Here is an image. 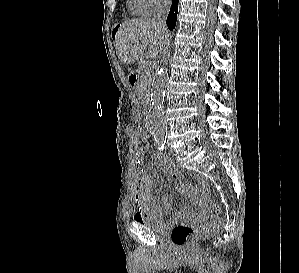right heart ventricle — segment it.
<instances>
[{"mask_svg": "<svg viewBox=\"0 0 299 273\" xmlns=\"http://www.w3.org/2000/svg\"><path fill=\"white\" fill-rule=\"evenodd\" d=\"M131 6H132V10L134 11V13L136 14H140L143 15L145 14L141 8L139 7L138 3L136 2V0H131Z\"/></svg>", "mask_w": 299, "mask_h": 273, "instance_id": "obj_1", "label": "right heart ventricle"}]
</instances>
